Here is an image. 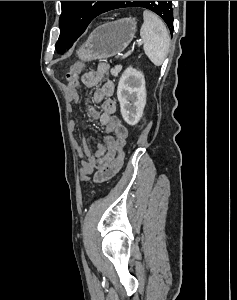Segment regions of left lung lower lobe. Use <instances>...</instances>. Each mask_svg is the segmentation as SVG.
<instances>
[{"mask_svg":"<svg viewBox=\"0 0 237 300\" xmlns=\"http://www.w3.org/2000/svg\"><path fill=\"white\" fill-rule=\"evenodd\" d=\"M122 1H111L110 4L106 7L105 12L120 8V4ZM168 1H160V7L163 8ZM171 34L173 30L170 31Z\"/></svg>","mask_w":237,"mask_h":300,"instance_id":"left-lung-lower-lobe-1","label":"left lung lower lobe"}]
</instances>
